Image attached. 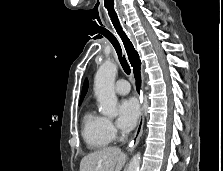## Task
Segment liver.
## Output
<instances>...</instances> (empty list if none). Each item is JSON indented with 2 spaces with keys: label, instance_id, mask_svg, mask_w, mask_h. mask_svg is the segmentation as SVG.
I'll use <instances>...</instances> for the list:
<instances>
[{
  "label": "liver",
  "instance_id": "liver-1",
  "mask_svg": "<svg viewBox=\"0 0 223 171\" xmlns=\"http://www.w3.org/2000/svg\"><path fill=\"white\" fill-rule=\"evenodd\" d=\"M127 157L117 147H106L86 155L79 171H121Z\"/></svg>",
  "mask_w": 223,
  "mask_h": 171
}]
</instances>
